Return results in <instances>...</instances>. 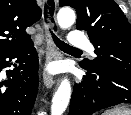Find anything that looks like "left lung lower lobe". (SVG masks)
<instances>
[{"label":"left lung lower lobe","instance_id":"0a47b994","mask_svg":"<svg viewBox=\"0 0 131 115\" xmlns=\"http://www.w3.org/2000/svg\"><path fill=\"white\" fill-rule=\"evenodd\" d=\"M81 66L87 75L74 85L69 115H92L110 106L131 103V77Z\"/></svg>","mask_w":131,"mask_h":115}]
</instances>
